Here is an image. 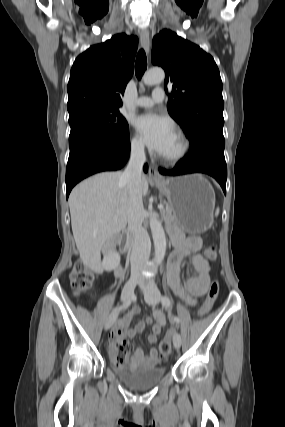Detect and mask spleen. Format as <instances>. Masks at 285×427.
<instances>
[{
    "instance_id": "1",
    "label": "spleen",
    "mask_w": 285,
    "mask_h": 427,
    "mask_svg": "<svg viewBox=\"0 0 285 427\" xmlns=\"http://www.w3.org/2000/svg\"><path fill=\"white\" fill-rule=\"evenodd\" d=\"M218 214H219V208L216 209L215 216H218Z\"/></svg>"
}]
</instances>
